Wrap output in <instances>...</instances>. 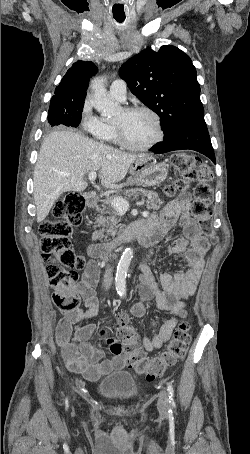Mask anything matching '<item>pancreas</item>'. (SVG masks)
<instances>
[{"instance_id":"obj_1","label":"pancreas","mask_w":250,"mask_h":454,"mask_svg":"<svg viewBox=\"0 0 250 454\" xmlns=\"http://www.w3.org/2000/svg\"><path fill=\"white\" fill-rule=\"evenodd\" d=\"M138 193H142L145 197H147V208L148 209H159L160 205L163 204V201L159 198L158 194L154 193L153 191H148L144 189H134L128 190L124 193L125 198L130 197L132 195L138 196ZM122 198V196H119ZM110 199L104 200L102 207L97 206L96 210L100 213L97 217L96 223L97 227H102L100 230L95 231L92 235V239L102 240L107 239L109 237L114 238L117 233L118 228V221L116 218V214L112 212V206L110 203ZM104 214H108V217H105ZM157 217L156 215H153ZM104 233L106 235H104Z\"/></svg>"}]
</instances>
